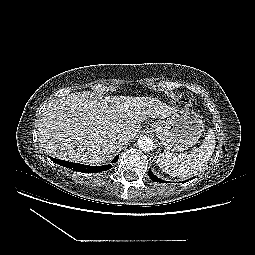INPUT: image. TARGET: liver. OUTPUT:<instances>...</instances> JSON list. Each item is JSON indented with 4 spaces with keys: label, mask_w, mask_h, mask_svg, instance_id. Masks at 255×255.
Wrapping results in <instances>:
<instances>
[{
    "label": "liver",
    "mask_w": 255,
    "mask_h": 255,
    "mask_svg": "<svg viewBox=\"0 0 255 255\" xmlns=\"http://www.w3.org/2000/svg\"><path fill=\"white\" fill-rule=\"evenodd\" d=\"M173 107L157 98L97 97L88 91L53 99L38 125V141L56 158L83 164H100L122 144L118 134L134 138L148 118L164 119Z\"/></svg>",
    "instance_id": "6515ba94"
}]
</instances>
